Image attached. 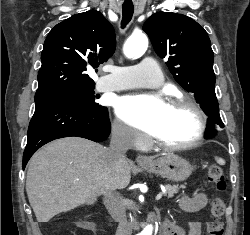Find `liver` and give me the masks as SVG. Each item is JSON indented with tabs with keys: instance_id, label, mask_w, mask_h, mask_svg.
I'll return each instance as SVG.
<instances>
[{
	"instance_id": "obj_1",
	"label": "liver",
	"mask_w": 250,
	"mask_h": 235,
	"mask_svg": "<svg viewBox=\"0 0 250 235\" xmlns=\"http://www.w3.org/2000/svg\"><path fill=\"white\" fill-rule=\"evenodd\" d=\"M105 148L79 137L55 140L31 158L26 178L29 203L38 222L92 203L101 193L123 189L130 182V164L124 159L111 168Z\"/></svg>"
}]
</instances>
